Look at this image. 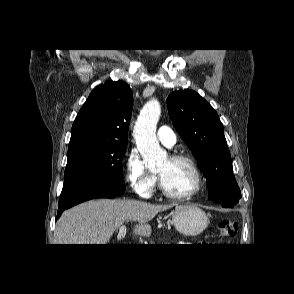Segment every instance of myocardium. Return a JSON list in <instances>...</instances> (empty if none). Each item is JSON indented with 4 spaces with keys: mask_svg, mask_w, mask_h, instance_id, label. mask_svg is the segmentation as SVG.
Returning a JSON list of instances; mask_svg holds the SVG:
<instances>
[{
    "mask_svg": "<svg viewBox=\"0 0 294 294\" xmlns=\"http://www.w3.org/2000/svg\"><path fill=\"white\" fill-rule=\"evenodd\" d=\"M169 160L171 162H185L187 163L191 169L193 170L196 178V184L192 191L186 194H176L169 191L161 176L158 175V183H159V190L160 192L167 198L173 199V200H187L195 196L203 187V175L202 172L197 164V162L190 156L184 155V154H176L169 157Z\"/></svg>",
    "mask_w": 294,
    "mask_h": 294,
    "instance_id": "1",
    "label": "myocardium"
}]
</instances>
